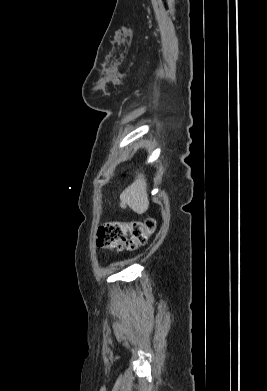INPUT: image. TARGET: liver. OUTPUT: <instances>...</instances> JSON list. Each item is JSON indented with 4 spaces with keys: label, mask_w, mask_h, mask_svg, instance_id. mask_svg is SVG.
Masks as SVG:
<instances>
[{
    "label": "liver",
    "mask_w": 267,
    "mask_h": 391,
    "mask_svg": "<svg viewBox=\"0 0 267 391\" xmlns=\"http://www.w3.org/2000/svg\"><path fill=\"white\" fill-rule=\"evenodd\" d=\"M120 200L122 205H128L138 214L148 210L147 183L143 174H138L135 181L121 193Z\"/></svg>",
    "instance_id": "1"
}]
</instances>
